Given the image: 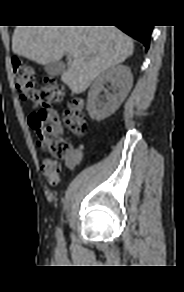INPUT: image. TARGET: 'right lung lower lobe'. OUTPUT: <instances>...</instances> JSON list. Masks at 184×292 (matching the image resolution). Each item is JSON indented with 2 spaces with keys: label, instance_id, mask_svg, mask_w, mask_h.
Masks as SVG:
<instances>
[{
  "label": "right lung lower lobe",
  "instance_id": "98d812e1",
  "mask_svg": "<svg viewBox=\"0 0 184 292\" xmlns=\"http://www.w3.org/2000/svg\"><path fill=\"white\" fill-rule=\"evenodd\" d=\"M123 32L140 41L145 46L146 50L149 48L150 36L153 26L148 25H120Z\"/></svg>",
  "mask_w": 184,
  "mask_h": 292
}]
</instances>
